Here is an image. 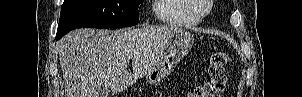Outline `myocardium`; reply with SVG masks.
<instances>
[{"mask_svg": "<svg viewBox=\"0 0 302 97\" xmlns=\"http://www.w3.org/2000/svg\"><path fill=\"white\" fill-rule=\"evenodd\" d=\"M187 12L198 20L206 17L212 9V0H205L206 10L204 12H198L194 5L193 0H183Z\"/></svg>", "mask_w": 302, "mask_h": 97, "instance_id": "myocardium-1", "label": "myocardium"}]
</instances>
